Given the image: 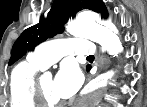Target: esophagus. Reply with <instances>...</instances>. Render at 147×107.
Wrapping results in <instances>:
<instances>
[{"mask_svg":"<svg viewBox=\"0 0 147 107\" xmlns=\"http://www.w3.org/2000/svg\"><path fill=\"white\" fill-rule=\"evenodd\" d=\"M97 63H98L99 69L101 70L103 68V63H102V57L100 55H98L97 57Z\"/></svg>","mask_w":147,"mask_h":107,"instance_id":"1","label":"esophagus"}]
</instances>
